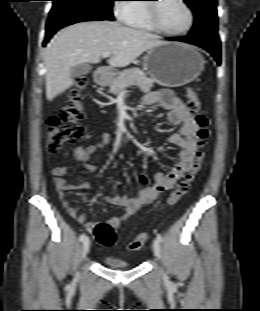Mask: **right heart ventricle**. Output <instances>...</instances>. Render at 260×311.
Returning a JSON list of instances; mask_svg holds the SVG:
<instances>
[{
    "mask_svg": "<svg viewBox=\"0 0 260 311\" xmlns=\"http://www.w3.org/2000/svg\"><path fill=\"white\" fill-rule=\"evenodd\" d=\"M132 7L126 23L138 29L153 31L147 18L146 4H133Z\"/></svg>",
    "mask_w": 260,
    "mask_h": 311,
    "instance_id": "obj_1",
    "label": "right heart ventricle"
}]
</instances>
